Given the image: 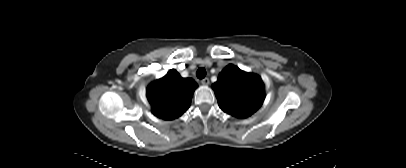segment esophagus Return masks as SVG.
Returning a JSON list of instances; mask_svg holds the SVG:
<instances>
[{
  "mask_svg": "<svg viewBox=\"0 0 406 168\" xmlns=\"http://www.w3.org/2000/svg\"><path fill=\"white\" fill-rule=\"evenodd\" d=\"M201 83H202L203 85L207 86V85H209L210 81H209L208 78H204V79L201 80Z\"/></svg>",
  "mask_w": 406,
  "mask_h": 168,
  "instance_id": "obj_1",
  "label": "esophagus"
}]
</instances>
